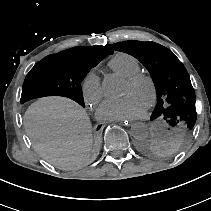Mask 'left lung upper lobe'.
<instances>
[{
  "instance_id": "5c2ea615",
  "label": "left lung upper lobe",
  "mask_w": 211,
  "mask_h": 211,
  "mask_svg": "<svg viewBox=\"0 0 211 211\" xmlns=\"http://www.w3.org/2000/svg\"><path fill=\"white\" fill-rule=\"evenodd\" d=\"M110 47L137 58L156 87L157 105L150 119L161 124L165 133L156 143L143 142L141 151L158 157L181 149L196 122L195 91L184 65L169 49L154 42L124 41Z\"/></svg>"
}]
</instances>
